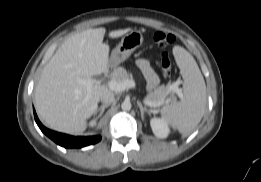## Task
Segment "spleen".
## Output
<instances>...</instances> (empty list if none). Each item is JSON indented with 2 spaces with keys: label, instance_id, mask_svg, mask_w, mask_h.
Segmentation results:
<instances>
[{
  "label": "spleen",
  "instance_id": "1",
  "mask_svg": "<svg viewBox=\"0 0 261 182\" xmlns=\"http://www.w3.org/2000/svg\"><path fill=\"white\" fill-rule=\"evenodd\" d=\"M173 54L183 78L181 100L161 110L164 120L182 134H189L201 121L206 108V85L193 56L183 47L175 46Z\"/></svg>",
  "mask_w": 261,
  "mask_h": 182
}]
</instances>
